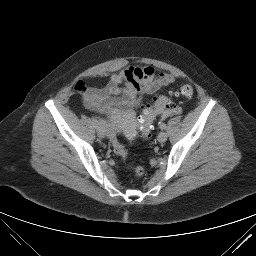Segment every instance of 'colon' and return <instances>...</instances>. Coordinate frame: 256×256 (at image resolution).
Segmentation results:
<instances>
[{
	"label": "colon",
	"instance_id": "obj_1",
	"mask_svg": "<svg viewBox=\"0 0 256 256\" xmlns=\"http://www.w3.org/2000/svg\"><path fill=\"white\" fill-rule=\"evenodd\" d=\"M80 85V84H79ZM193 87L189 84L182 85L177 91L170 94L169 96H159L154 100L151 105L144 107L142 114L138 118L139 129L141 137L147 138L150 134L152 122L156 115L160 114L163 110L170 109L173 107L172 96L175 97H191L193 95ZM112 146L115 154L123 161L127 159V150L122 143L117 139L112 140ZM133 171L137 177H141L144 170L141 166H132Z\"/></svg>",
	"mask_w": 256,
	"mask_h": 256
}]
</instances>
